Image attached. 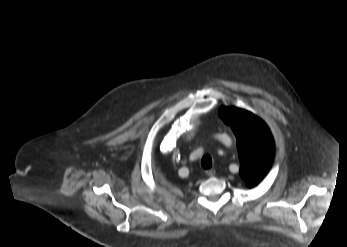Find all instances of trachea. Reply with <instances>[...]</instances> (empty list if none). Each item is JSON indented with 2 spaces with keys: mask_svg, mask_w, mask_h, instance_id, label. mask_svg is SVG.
Returning <instances> with one entry per match:
<instances>
[{
  "mask_svg": "<svg viewBox=\"0 0 347 247\" xmlns=\"http://www.w3.org/2000/svg\"><path fill=\"white\" fill-rule=\"evenodd\" d=\"M201 165L204 169H209L212 166V159L209 155H204L201 160Z\"/></svg>",
  "mask_w": 347,
  "mask_h": 247,
  "instance_id": "obj_1",
  "label": "trachea"
}]
</instances>
